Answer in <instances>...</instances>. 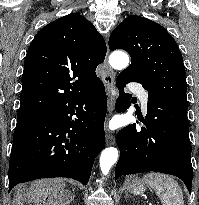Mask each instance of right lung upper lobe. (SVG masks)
Here are the masks:
<instances>
[{
  "instance_id": "1",
  "label": "right lung upper lobe",
  "mask_w": 199,
  "mask_h": 205,
  "mask_svg": "<svg viewBox=\"0 0 199 205\" xmlns=\"http://www.w3.org/2000/svg\"><path fill=\"white\" fill-rule=\"evenodd\" d=\"M106 55L103 37L79 13L43 27L27 51L18 119L39 117L101 80L96 67Z\"/></svg>"
}]
</instances>
